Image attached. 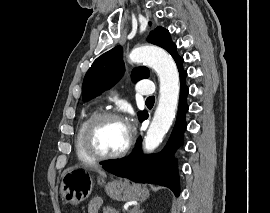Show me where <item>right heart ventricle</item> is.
<instances>
[{"label":"right heart ventricle","mask_w":270,"mask_h":213,"mask_svg":"<svg viewBox=\"0 0 270 213\" xmlns=\"http://www.w3.org/2000/svg\"><path fill=\"white\" fill-rule=\"evenodd\" d=\"M97 114L95 110H91L88 113H86L80 120L76 135H75V151L78 159L83 163H93L95 162V159L92 158L84 149L83 145V135L85 128L88 124V122L91 120V118Z\"/></svg>","instance_id":"obj_1"}]
</instances>
